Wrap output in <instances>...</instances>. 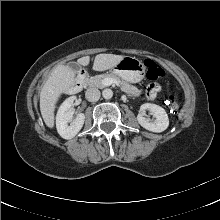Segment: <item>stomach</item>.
Wrapping results in <instances>:
<instances>
[{"label":"stomach","instance_id":"obj_1","mask_svg":"<svg viewBox=\"0 0 220 220\" xmlns=\"http://www.w3.org/2000/svg\"><path fill=\"white\" fill-rule=\"evenodd\" d=\"M145 66L139 59L126 56L113 67V73L130 83H138L144 78Z\"/></svg>","mask_w":220,"mask_h":220}]
</instances>
